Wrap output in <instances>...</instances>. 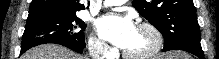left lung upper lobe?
Masks as SVG:
<instances>
[{
    "instance_id": "1",
    "label": "left lung upper lobe",
    "mask_w": 219,
    "mask_h": 59,
    "mask_svg": "<svg viewBox=\"0 0 219 59\" xmlns=\"http://www.w3.org/2000/svg\"><path fill=\"white\" fill-rule=\"evenodd\" d=\"M132 5L164 37V47L187 37H200L193 0H134Z\"/></svg>"
}]
</instances>
